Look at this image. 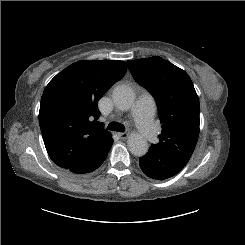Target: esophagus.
Returning <instances> with one entry per match:
<instances>
[{
    "label": "esophagus",
    "instance_id": "esophagus-1",
    "mask_svg": "<svg viewBox=\"0 0 245 245\" xmlns=\"http://www.w3.org/2000/svg\"><path fill=\"white\" fill-rule=\"evenodd\" d=\"M118 135L121 139H126L128 137V133H126V132H120V133H118Z\"/></svg>",
    "mask_w": 245,
    "mask_h": 245
}]
</instances>
